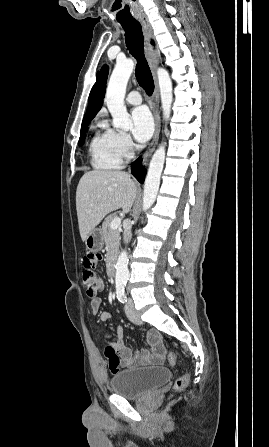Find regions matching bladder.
<instances>
[{"instance_id":"31cf9c89","label":"bladder","mask_w":269,"mask_h":447,"mask_svg":"<svg viewBox=\"0 0 269 447\" xmlns=\"http://www.w3.org/2000/svg\"><path fill=\"white\" fill-rule=\"evenodd\" d=\"M169 380H171L169 368L143 367L114 372L110 388L112 394L123 398H137L146 396Z\"/></svg>"}]
</instances>
